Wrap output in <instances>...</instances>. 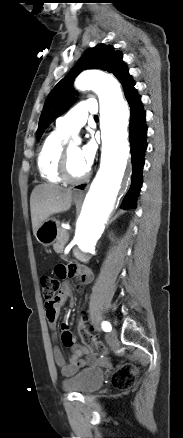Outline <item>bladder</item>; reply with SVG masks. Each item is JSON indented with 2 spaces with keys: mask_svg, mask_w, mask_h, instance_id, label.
I'll list each match as a JSON object with an SVG mask.
<instances>
[{
  "mask_svg": "<svg viewBox=\"0 0 183 438\" xmlns=\"http://www.w3.org/2000/svg\"><path fill=\"white\" fill-rule=\"evenodd\" d=\"M105 375L98 368H86L64 381V389L80 394L98 390L104 384Z\"/></svg>",
  "mask_w": 183,
  "mask_h": 438,
  "instance_id": "31cf9c89",
  "label": "bladder"
}]
</instances>
